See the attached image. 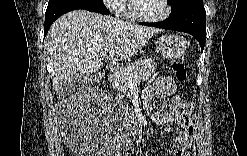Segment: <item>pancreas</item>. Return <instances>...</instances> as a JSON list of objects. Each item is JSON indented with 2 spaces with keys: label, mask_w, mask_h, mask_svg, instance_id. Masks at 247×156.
<instances>
[{
  "label": "pancreas",
  "mask_w": 247,
  "mask_h": 156,
  "mask_svg": "<svg viewBox=\"0 0 247 156\" xmlns=\"http://www.w3.org/2000/svg\"><path fill=\"white\" fill-rule=\"evenodd\" d=\"M123 69H129L138 78L135 82L148 80L156 69V65L151 58L139 59L135 63L128 64L120 68L119 71L113 72L109 80L113 84V89L121 93H128L130 78L123 72Z\"/></svg>",
  "instance_id": "1"
}]
</instances>
